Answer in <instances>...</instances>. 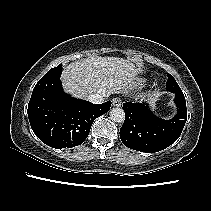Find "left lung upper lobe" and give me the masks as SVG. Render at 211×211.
<instances>
[{
  "label": "left lung upper lobe",
  "instance_id": "1",
  "mask_svg": "<svg viewBox=\"0 0 211 211\" xmlns=\"http://www.w3.org/2000/svg\"><path fill=\"white\" fill-rule=\"evenodd\" d=\"M166 88L170 92H174L175 90H180V87L177 84L176 80L170 74H168V80H167V83H166Z\"/></svg>",
  "mask_w": 211,
  "mask_h": 211
}]
</instances>
